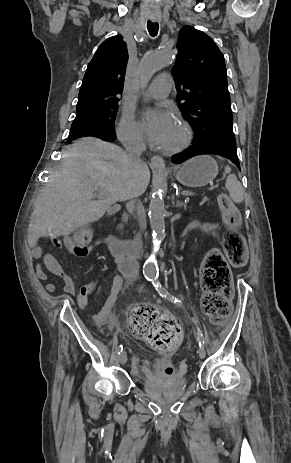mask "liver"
<instances>
[{"instance_id":"obj_1","label":"liver","mask_w":291,"mask_h":463,"mask_svg":"<svg viewBox=\"0 0 291 463\" xmlns=\"http://www.w3.org/2000/svg\"><path fill=\"white\" fill-rule=\"evenodd\" d=\"M150 170L141 160L129 162L120 147L93 137L74 142L36 199L28 228L34 246L40 237L68 235L99 220L117 201L141 195ZM99 191L98 200L94 193Z\"/></svg>"}]
</instances>
